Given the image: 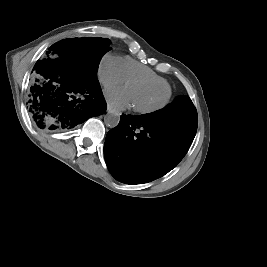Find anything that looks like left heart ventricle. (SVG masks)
<instances>
[{"mask_svg": "<svg viewBox=\"0 0 267 267\" xmlns=\"http://www.w3.org/2000/svg\"><path fill=\"white\" fill-rule=\"evenodd\" d=\"M127 88L131 94L132 105L137 107H151L161 103L168 95V89L154 86L150 83H130Z\"/></svg>", "mask_w": 267, "mask_h": 267, "instance_id": "1", "label": "left heart ventricle"}]
</instances>
